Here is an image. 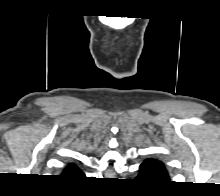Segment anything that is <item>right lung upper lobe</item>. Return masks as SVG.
Segmentation results:
<instances>
[{
    "label": "right lung upper lobe",
    "mask_w": 220,
    "mask_h": 196,
    "mask_svg": "<svg viewBox=\"0 0 220 196\" xmlns=\"http://www.w3.org/2000/svg\"><path fill=\"white\" fill-rule=\"evenodd\" d=\"M83 173L80 171V169L74 165V164H68L64 171H63V175L65 177L67 176H78V175H82Z\"/></svg>",
    "instance_id": "cb5924a9"
}]
</instances>
